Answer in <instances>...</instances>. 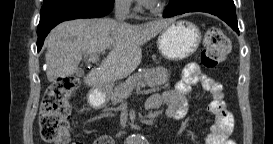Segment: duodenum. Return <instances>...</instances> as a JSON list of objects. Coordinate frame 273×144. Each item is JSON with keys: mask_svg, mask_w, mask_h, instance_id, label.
<instances>
[{"mask_svg": "<svg viewBox=\"0 0 273 144\" xmlns=\"http://www.w3.org/2000/svg\"><path fill=\"white\" fill-rule=\"evenodd\" d=\"M95 91H96V92H103V91H104V88H103L101 85H97V86L95 87ZM156 100H157L158 103H161V102H162V98H161L160 96H158V97L156 98Z\"/></svg>", "mask_w": 273, "mask_h": 144, "instance_id": "obj_1", "label": "duodenum"}]
</instances>
